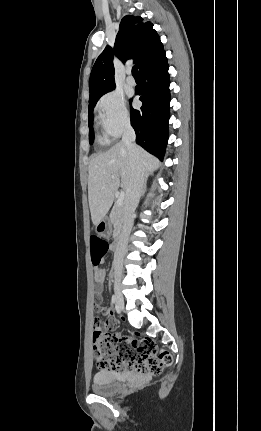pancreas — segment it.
<instances>
[{
	"label": "pancreas",
	"instance_id": "obj_1",
	"mask_svg": "<svg viewBox=\"0 0 261 431\" xmlns=\"http://www.w3.org/2000/svg\"><path fill=\"white\" fill-rule=\"evenodd\" d=\"M110 222L114 226V232L118 233L121 230L122 223H123V206H118L115 204L113 206V209L110 213Z\"/></svg>",
	"mask_w": 261,
	"mask_h": 431
}]
</instances>
